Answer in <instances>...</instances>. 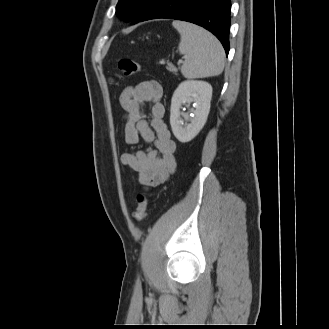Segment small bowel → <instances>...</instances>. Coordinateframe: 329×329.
Returning <instances> with one entry per match:
<instances>
[{"label": "small bowel", "mask_w": 329, "mask_h": 329, "mask_svg": "<svg viewBox=\"0 0 329 329\" xmlns=\"http://www.w3.org/2000/svg\"><path fill=\"white\" fill-rule=\"evenodd\" d=\"M162 86L156 81H144L126 87L120 95L124 114L125 142L134 145L143 140L152 145L135 153H124L122 165L137 174V181L146 188L165 183L176 168V144L164 122L165 108L161 103ZM145 104L150 105V122L145 117Z\"/></svg>", "instance_id": "1"}]
</instances>
